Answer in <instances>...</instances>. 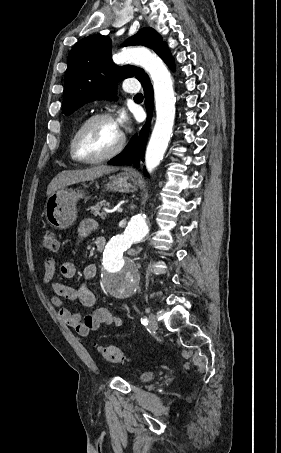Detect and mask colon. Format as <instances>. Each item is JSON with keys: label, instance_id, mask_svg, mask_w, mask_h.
<instances>
[{"label": "colon", "instance_id": "colon-1", "mask_svg": "<svg viewBox=\"0 0 281 453\" xmlns=\"http://www.w3.org/2000/svg\"><path fill=\"white\" fill-rule=\"evenodd\" d=\"M40 249L49 255H54L58 251L57 232L55 230H46L40 243ZM97 351L105 363H124L127 361L124 352L118 348L108 346H97Z\"/></svg>", "mask_w": 281, "mask_h": 453}]
</instances>
